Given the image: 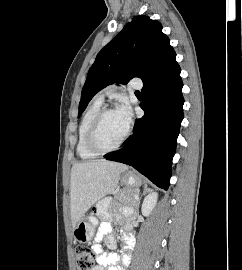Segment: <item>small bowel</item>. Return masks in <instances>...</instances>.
Returning a JSON list of instances; mask_svg holds the SVG:
<instances>
[{
  "instance_id": "1",
  "label": "small bowel",
  "mask_w": 242,
  "mask_h": 270,
  "mask_svg": "<svg viewBox=\"0 0 242 270\" xmlns=\"http://www.w3.org/2000/svg\"><path fill=\"white\" fill-rule=\"evenodd\" d=\"M104 220L100 223L93 241L92 249L96 255L97 266L93 270H103V266L111 265L109 270H126L128 259L115 252L106 253L99 242L105 239L107 248H116V238L112 233V221L114 219L123 220V242L125 249L129 250L134 245V239L130 232L131 225L128 218L122 219L120 215H113L111 212L102 213Z\"/></svg>"
}]
</instances>
